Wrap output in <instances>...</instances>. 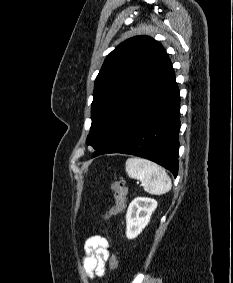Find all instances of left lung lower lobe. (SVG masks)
I'll return each mask as SVG.
<instances>
[{"label":"left lung lower lobe","mask_w":233,"mask_h":283,"mask_svg":"<svg viewBox=\"0 0 233 283\" xmlns=\"http://www.w3.org/2000/svg\"><path fill=\"white\" fill-rule=\"evenodd\" d=\"M180 96L167 59L152 75L134 105L93 157L124 153L152 160L178 174Z\"/></svg>","instance_id":"left-lung-lower-lobe-1"}]
</instances>
